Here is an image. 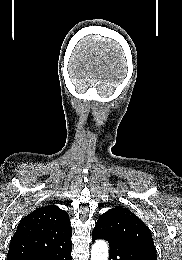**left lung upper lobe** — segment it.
<instances>
[{"instance_id":"left-lung-upper-lobe-1","label":"left lung upper lobe","mask_w":182,"mask_h":260,"mask_svg":"<svg viewBox=\"0 0 182 260\" xmlns=\"http://www.w3.org/2000/svg\"><path fill=\"white\" fill-rule=\"evenodd\" d=\"M108 238L156 256L149 228L130 210L115 207L102 214L93 229Z\"/></svg>"}]
</instances>
